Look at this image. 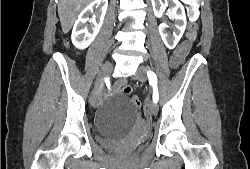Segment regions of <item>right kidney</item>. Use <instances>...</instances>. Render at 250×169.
<instances>
[{
    "label": "right kidney",
    "mask_w": 250,
    "mask_h": 169,
    "mask_svg": "<svg viewBox=\"0 0 250 169\" xmlns=\"http://www.w3.org/2000/svg\"><path fill=\"white\" fill-rule=\"evenodd\" d=\"M107 6L108 0H92L80 12L71 34V40L76 48H87L95 36H97L103 24ZM94 8H96L95 12ZM91 12H94V16L89 18ZM86 22H90L89 26H87Z\"/></svg>",
    "instance_id": "obj_1"
}]
</instances>
